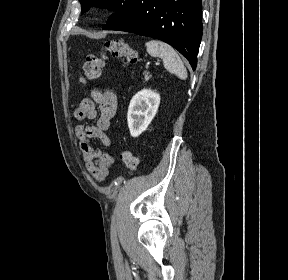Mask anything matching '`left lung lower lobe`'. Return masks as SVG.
I'll list each match as a JSON object with an SVG mask.
<instances>
[{
	"label": "left lung lower lobe",
	"mask_w": 288,
	"mask_h": 280,
	"mask_svg": "<svg viewBox=\"0 0 288 280\" xmlns=\"http://www.w3.org/2000/svg\"><path fill=\"white\" fill-rule=\"evenodd\" d=\"M201 0H133L104 30L162 40L184 55L195 70L202 37Z\"/></svg>",
	"instance_id": "obj_1"
}]
</instances>
